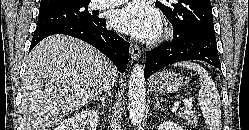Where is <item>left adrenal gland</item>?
<instances>
[{"label": "left adrenal gland", "mask_w": 249, "mask_h": 130, "mask_svg": "<svg viewBox=\"0 0 249 130\" xmlns=\"http://www.w3.org/2000/svg\"><path fill=\"white\" fill-rule=\"evenodd\" d=\"M155 100H156V104H155V106H154V110H156L157 108H158V109L161 108V106H160V104H159V100H158L157 97H155Z\"/></svg>", "instance_id": "1"}]
</instances>
